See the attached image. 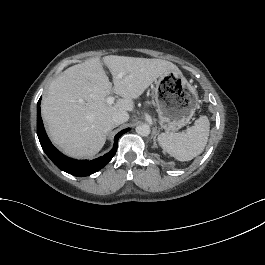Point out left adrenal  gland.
Masks as SVG:
<instances>
[{"label":"left adrenal gland","mask_w":265,"mask_h":265,"mask_svg":"<svg viewBox=\"0 0 265 265\" xmlns=\"http://www.w3.org/2000/svg\"><path fill=\"white\" fill-rule=\"evenodd\" d=\"M153 141H154V143H155V145H156L155 139H154Z\"/></svg>","instance_id":"obj_1"}]
</instances>
